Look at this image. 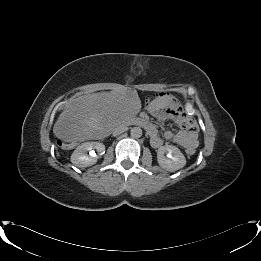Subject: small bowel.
<instances>
[{"instance_id": "c3829d8e", "label": "small bowel", "mask_w": 261, "mask_h": 261, "mask_svg": "<svg viewBox=\"0 0 261 261\" xmlns=\"http://www.w3.org/2000/svg\"><path fill=\"white\" fill-rule=\"evenodd\" d=\"M149 113L158 121L172 119L181 127V130L178 132L166 130L163 134L166 140L173 141L185 148L197 147V123L192 119L190 114L183 109L181 103L175 96L169 93L160 94L150 104ZM145 128L150 135L151 144L155 147H159L162 144V140L158 135L156 127L152 123L147 122Z\"/></svg>"}]
</instances>
